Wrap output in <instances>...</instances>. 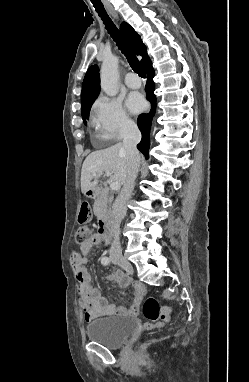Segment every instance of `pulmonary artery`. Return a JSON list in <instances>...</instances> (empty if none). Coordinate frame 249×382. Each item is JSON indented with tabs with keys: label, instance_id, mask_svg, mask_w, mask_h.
I'll return each mask as SVG.
<instances>
[{
	"label": "pulmonary artery",
	"instance_id": "e3ab8cb5",
	"mask_svg": "<svg viewBox=\"0 0 249 382\" xmlns=\"http://www.w3.org/2000/svg\"><path fill=\"white\" fill-rule=\"evenodd\" d=\"M125 84L131 89H137L141 86V80L134 73H128L125 76Z\"/></svg>",
	"mask_w": 249,
	"mask_h": 382
}]
</instances>
